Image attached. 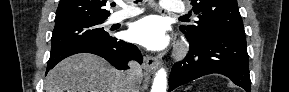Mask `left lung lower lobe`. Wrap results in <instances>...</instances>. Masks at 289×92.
Instances as JSON below:
<instances>
[{
  "label": "left lung lower lobe",
  "mask_w": 289,
  "mask_h": 92,
  "mask_svg": "<svg viewBox=\"0 0 289 92\" xmlns=\"http://www.w3.org/2000/svg\"><path fill=\"white\" fill-rule=\"evenodd\" d=\"M189 41V40H188ZM183 61L174 64L169 77V90L206 74L219 73L229 77L246 92L251 90L245 35L215 32L201 42H190Z\"/></svg>",
  "instance_id": "obj_1"
}]
</instances>
